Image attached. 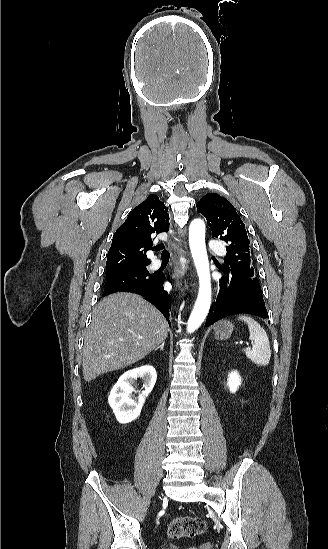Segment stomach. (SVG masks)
I'll return each instance as SVG.
<instances>
[{
  "instance_id": "0dacf381",
  "label": "stomach",
  "mask_w": 328,
  "mask_h": 549,
  "mask_svg": "<svg viewBox=\"0 0 328 549\" xmlns=\"http://www.w3.org/2000/svg\"><path fill=\"white\" fill-rule=\"evenodd\" d=\"M234 325L230 321H219L214 327V335L217 341L229 339L233 333Z\"/></svg>"
}]
</instances>
